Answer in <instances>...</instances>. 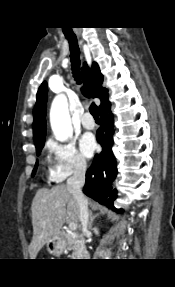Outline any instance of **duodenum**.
Wrapping results in <instances>:
<instances>
[{"instance_id":"410a0bca","label":"duodenum","mask_w":175,"mask_h":287,"mask_svg":"<svg viewBox=\"0 0 175 287\" xmlns=\"http://www.w3.org/2000/svg\"><path fill=\"white\" fill-rule=\"evenodd\" d=\"M62 236H63V238L65 237V238H67V239H70V238H71V236H70L68 233H64ZM80 257H81L82 259H85V258H88V257H89V254H88L86 251H81V252H80Z\"/></svg>"}]
</instances>
